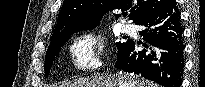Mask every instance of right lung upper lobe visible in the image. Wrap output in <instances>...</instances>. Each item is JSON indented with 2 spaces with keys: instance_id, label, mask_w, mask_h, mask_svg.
<instances>
[{
  "instance_id": "1",
  "label": "right lung upper lobe",
  "mask_w": 205,
  "mask_h": 87,
  "mask_svg": "<svg viewBox=\"0 0 205 87\" xmlns=\"http://www.w3.org/2000/svg\"><path fill=\"white\" fill-rule=\"evenodd\" d=\"M170 0H137L131 19L138 24ZM132 0H64L51 42L72 32L95 28L109 10L131 8ZM124 14V13H123ZM120 15L115 14L118 18ZM51 44V43H50Z\"/></svg>"
}]
</instances>
